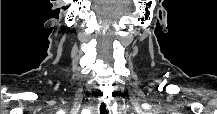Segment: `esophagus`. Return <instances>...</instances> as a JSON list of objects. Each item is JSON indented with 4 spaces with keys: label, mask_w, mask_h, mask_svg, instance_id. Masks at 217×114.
Segmentation results:
<instances>
[{
    "label": "esophagus",
    "mask_w": 217,
    "mask_h": 114,
    "mask_svg": "<svg viewBox=\"0 0 217 114\" xmlns=\"http://www.w3.org/2000/svg\"><path fill=\"white\" fill-rule=\"evenodd\" d=\"M99 114H106L111 112V101L107 98H100L98 105Z\"/></svg>",
    "instance_id": "esophagus-1"
}]
</instances>
